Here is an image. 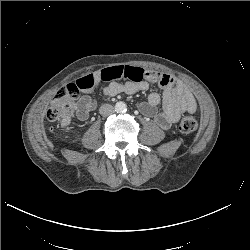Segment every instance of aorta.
<instances>
[{"label":"aorta","instance_id":"762f6f07","mask_svg":"<svg viewBox=\"0 0 250 250\" xmlns=\"http://www.w3.org/2000/svg\"><path fill=\"white\" fill-rule=\"evenodd\" d=\"M127 110V105L122 102V101H119L115 104V111L118 112V113H124L126 112Z\"/></svg>","mask_w":250,"mask_h":250}]
</instances>
